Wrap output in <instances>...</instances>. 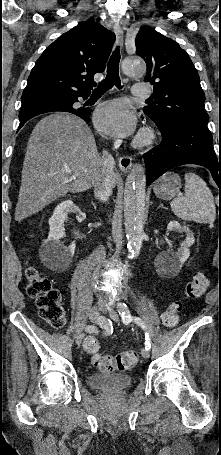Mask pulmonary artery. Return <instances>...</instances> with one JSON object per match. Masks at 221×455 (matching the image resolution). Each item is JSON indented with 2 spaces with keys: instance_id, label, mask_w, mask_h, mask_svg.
<instances>
[{
  "instance_id": "pulmonary-artery-1",
  "label": "pulmonary artery",
  "mask_w": 221,
  "mask_h": 455,
  "mask_svg": "<svg viewBox=\"0 0 221 455\" xmlns=\"http://www.w3.org/2000/svg\"><path fill=\"white\" fill-rule=\"evenodd\" d=\"M132 94L135 96L147 97L151 94V88L148 84L137 83L132 87Z\"/></svg>"
}]
</instances>
